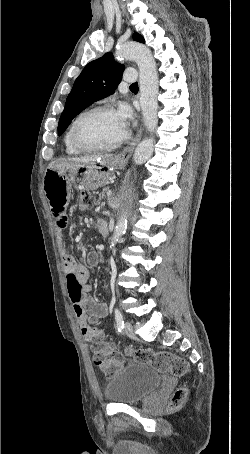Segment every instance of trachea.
<instances>
[{"label": "trachea", "mask_w": 250, "mask_h": 454, "mask_svg": "<svg viewBox=\"0 0 250 454\" xmlns=\"http://www.w3.org/2000/svg\"><path fill=\"white\" fill-rule=\"evenodd\" d=\"M130 87H138L137 82H136V83H133Z\"/></svg>", "instance_id": "obj_1"}]
</instances>
